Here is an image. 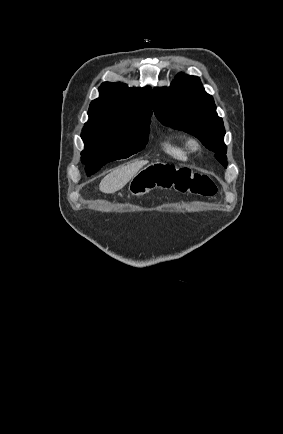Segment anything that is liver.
Masks as SVG:
<instances>
[{"label": "liver", "mask_w": 283, "mask_h": 434, "mask_svg": "<svg viewBox=\"0 0 283 434\" xmlns=\"http://www.w3.org/2000/svg\"><path fill=\"white\" fill-rule=\"evenodd\" d=\"M146 164L147 160H140L116 168L101 180L100 191L111 194L122 189Z\"/></svg>", "instance_id": "1"}]
</instances>
